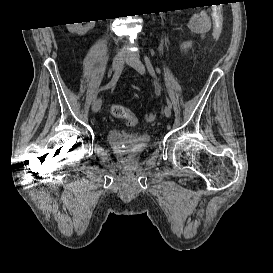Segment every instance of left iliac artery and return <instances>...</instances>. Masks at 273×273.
I'll return each instance as SVG.
<instances>
[{
  "mask_svg": "<svg viewBox=\"0 0 273 273\" xmlns=\"http://www.w3.org/2000/svg\"><path fill=\"white\" fill-rule=\"evenodd\" d=\"M144 60H145L146 67H147L148 72L150 73V75L152 77H156L153 65H152L150 59L148 58V56H145ZM167 105H168L169 108H172V103L170 102V100L168 98H167Z\"/></svg>",
  "mask_w": 273,
  "mask_h": 273,
  "instance_id": "obj_1",
  "label": "left iliac artery"
}]
</instances>
